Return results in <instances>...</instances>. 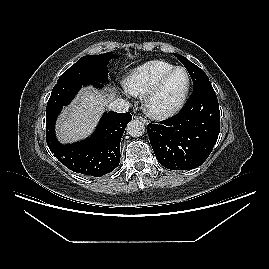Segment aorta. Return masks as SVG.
Masks as SVG:
<instances>
[{
	"mask_svg": "<svg viewBox=\"0 0 269 269\" xmlns=\"http://www.w3.org/2000/svg\"><path fill=\"white\" fill-rule=\"evenodd\" d=\"M127 132L132 137H139L145 132V125L139 120H132L127 125Z\"/></svg>",
	"mask_w": 269,
	"mask_h": 269,
	"instance_id": "1",
	"label": "aorta"
}]
</instances>
